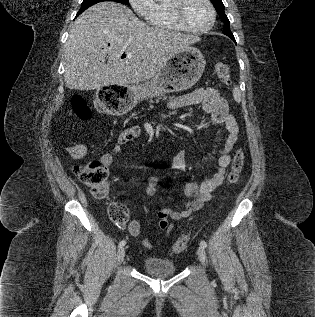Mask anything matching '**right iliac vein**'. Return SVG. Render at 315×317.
I'll return each mask as SVG.
<instances>
[{
    "mask_svg": "<svg viewBox=\"0 0 315 317\" xmlns=\"http://www.w3.org/2000/svg\"><path fill=\"white\" fill-rule=\"evenodd\" d=\"M125 257V249L122 247L117 252V262L118 264L122 263Z\"/></svg>",
    "mask_w": 315,
    "mask_h": 317,
    "instance_id": "63e3f726",
    "label": "right iliac vein"
}]
</instances>
